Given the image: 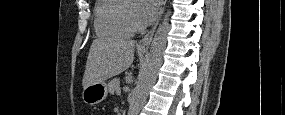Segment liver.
Instances as JSON below:
<instances>
[{"mask_svg":"<svg viewBox=\"0 0 285 115\" xmlns=\"http://www.w3.org/2000/svg\"><path fill=\"white\" fill-rule=\"evenodd\" d=\"M135 41L122 37L96 39L89 50L83 88L119 75L134 59Z\"/></svg>","mask_w":285,"mask_h":115,"instance_id":"liver-1","label":"liver"}]
</instances>
